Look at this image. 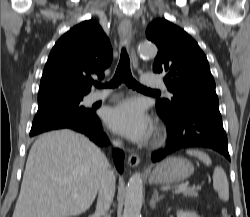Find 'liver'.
Here are the masks:
<instances>
[{"label":"liver","instance_id":"obj_1","mask_svg":"<svg viewBox=\"0 0 250 217\" xmlns=\"http://www.w3.org/2000/svg\"><path fill=\"white\" fill-rule=\"evenodd\" d=\"M109 170L104 153L69 130L44 133L32 145L12 217H70L92 205Z\"/></svg>","mask_w":250,"mask_h":217}]
</instances>
